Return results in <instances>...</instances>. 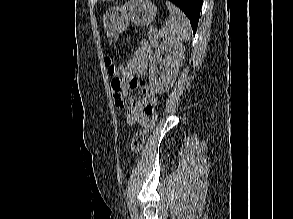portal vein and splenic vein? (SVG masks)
I'll return each instance as SVG.
<instances>
[{
  "instance_id": "obj_1",
  "label": "portal vein and splenic vein",
  "mask_w": 293,
  "mask_h": 219,
  "mask_svg": "<svg viewBox=\"0 0 293 219\" xmlns=\"http://www.w3.org/2000/svg\"><path fill=\"white\" fill-rule=\"evenodd\" d=\"M150 29L154 30V28H153V27H150Z\"/></svg>"
}]
</instances>
